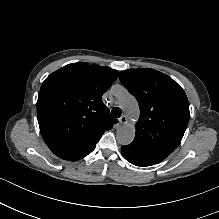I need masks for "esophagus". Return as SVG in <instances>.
Here are the masks:
<instances>
[{"instance_id": "34e87169", "label": "esophagus", "mask_w": 219, "mask_h": 219, "mask_svg": "<svg viewBox=\"0 0 219 219\" xmlns=\"http://www.w3.org/2000/svg\"><path fill=\"white\" fill-rule=\"evenodd\" d=\"M119 123L121 125H124L127 123V117L125 115H122L119 119H118Z\"/></svg>"}]
</instances>
